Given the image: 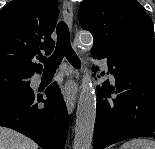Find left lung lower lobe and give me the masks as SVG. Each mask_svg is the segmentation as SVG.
I'll use <instances>...</instances> for the list:
<instances>
[{
	"instance_id": "obj_1",
	"label": "left lung lower lobe",
	"mask_w": 155,
	"mask_h": 149,
	"mask_svg": "<svg viewBox=\"0 0 155 149\" xmlns=\"http://www.w3.org/2000/svg\"><path fill=\"white\" fill-rule=\"evenodd\" d=\"M91 52L96 59L107 58L116 81L115 89L108 81L98 88L93 149L155 137V51ZM114 92L118 94L111 96Z\"/></svg>"
}]
</instances>
